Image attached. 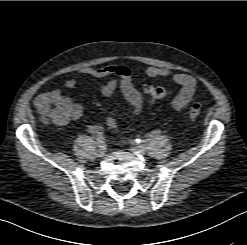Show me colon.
Segmentation results:
<instances>
[{"mask_svg":"<svg viewBox=\"0 0 247 245\" xmlns=\"http://www.w3.org/2000/svg\"><path fill=\"white\" fill-rule=\"evenodd\" d=\"M144 91L152 99H162L167 95L166 89L150 83L144 86ZM37 108L45 120L52 121L59 125L68 122L71 113L70 102L64 96L57 93H48L44 95L39 100ZM200 114L201 105L196 102L191 107L190 117L192 120H197ZM107 125L111 129L117 128L118 122L114 115H109L107 117Z\"/></svg>","mask_w":247,"mask_h":245,"instance_id":"5ec220e1","label":"colon"}]
</instances>
